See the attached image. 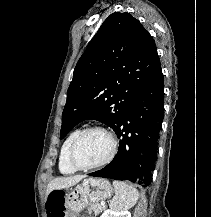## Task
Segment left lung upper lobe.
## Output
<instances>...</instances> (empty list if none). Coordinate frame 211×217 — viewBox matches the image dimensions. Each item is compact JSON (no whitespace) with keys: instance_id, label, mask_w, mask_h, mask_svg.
Instances as JSON below:
<instances>
[{"instance_id":"1","label":"left lung upper lobe","mask_w":211,"mask_h":217,"mask_svg":"<svg viewBox=\"0 0 211 217\" xmlns=\"http://www.w3.org/2000/svg\"><path fill=\"white\" fill-rule=\"evenodd\" d=\"M161 71L153 37L129 13H112L74 69L62 115L60 139L83 120L113 130L135 96Z\"/></svg>"}]
</instances>
